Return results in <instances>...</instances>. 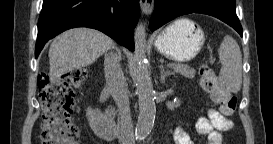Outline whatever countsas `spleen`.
I'll return each instance as SVG.
<instances>
[{"label": "spleen", "mask_w": 273, "mask_h": 144, "mask_svg": "<svg viewBox=\"0 0 273 144\" xmlns=\"http://www.w3.org/2000/svg\"><path fill=\"white\" fill-rule=\"evenodd\" d=\"M222 68L219 73L221 86L229 92H238L242 84V55L238 43L226 35L219 47Z\"/></svg>", "instance_id": "obj_1"}]
</instances>
